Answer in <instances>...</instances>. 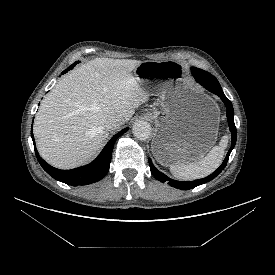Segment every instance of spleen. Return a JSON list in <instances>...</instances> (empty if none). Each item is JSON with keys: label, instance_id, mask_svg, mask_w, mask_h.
<instances>
[{"label": "spleen", "instance_id": "3e777b00", "mask_svg": "<svg viewBox=\"0 0 275 275\" xmlns=\"http://www.w3.org/2000/svg\"><path fill=\"white\" fill-rule=\"evenodd\" d=\"M228 144V136H223L219 142V146H215L202 159L184 164L176 163L170 165L172 175L180 180H194L206 177L216 170L221 164Z\"/></svg>", "mask_w": 275, "mask_h": 275}]
</instances>
